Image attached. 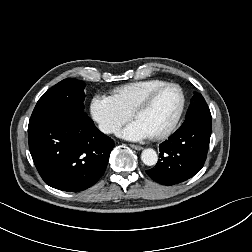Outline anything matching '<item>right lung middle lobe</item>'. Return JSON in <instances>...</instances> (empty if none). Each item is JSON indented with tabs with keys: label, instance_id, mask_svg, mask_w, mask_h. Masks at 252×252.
Segmentation results:
<instances>
[{
	"label": "right lung middle lobe",
	"instance_id": "obj_1",
	"mask_svg": "<svg viewBox=\"0 0 252 252\" xmlns=\"http://www.w3.org/2000/svg\"><path fill=\"white\" fill-rule=\"evenodd\" d=\"M85 83L77 79H64L38 100L29 123H33L57 114L84 112Z\"/></svg>",
	"mask_w": 252,
	"mask_h": 252
}]
</instances>
